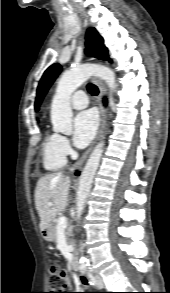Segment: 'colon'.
Returning a JSON list of instances; mask_svg holds the SVG:
<instances>
[{
    "mask_svg": "<svg viewBox=\"0 0 170 293\" xmlns=\"http://www.w3.org/2000/svg\"><path fill=\"white\" fill-rule=\"evenodd\" d=\"M49 283L52 289V292L49 293H63L60 291L69 284L68 272L56 262H53L50 266Z\"/></svg>",
    "mask_w": 170,
    "mask_h": 293,
    "instance_id": "1",
    "label": "colon"
}]
</instances>
